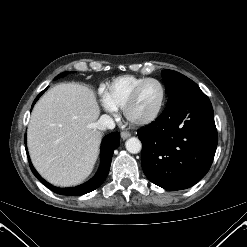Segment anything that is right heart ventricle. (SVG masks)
I'll use <instances>...</instances> for the list:
<instances>
[{"mask_svg": "<svg viewBox=\"0 0 247 247\" xmlns=\"http://www.w3.org/2000/svg\"><path fill=\"white\" fill-rule=\"evenodd\" d=\"M146 77L124 75L115 78L103 92L106 102L116 109H122L128 96Z\"/></svg>", "mask_w": 247, "mask_h": 247, "instance_id": "right-heart-ventricle-1", "label": "right heart ventricle"}]
</instances>
